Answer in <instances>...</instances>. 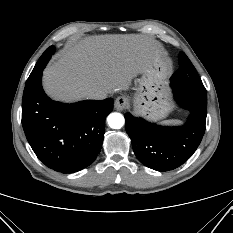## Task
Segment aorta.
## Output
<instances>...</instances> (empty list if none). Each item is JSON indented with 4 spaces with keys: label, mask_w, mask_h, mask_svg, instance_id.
<instances>
[{
    "label": "aorta",
    "mask_w": 233,
    "mask_h": 233,
    "mask_svg": "<svg viewBox=\"0 0 233 233\" xmlns=\"http://www.w3.org/2000/svg\"><path fill=\"white\" fill-rule=\"evenodd\" d=\"M107 122L110 128L120 129L124 125L125 119L122 114L114 112L108 115Z\"/></svg>",
    "instance_id": "762f6f07"
}]
</instances>
